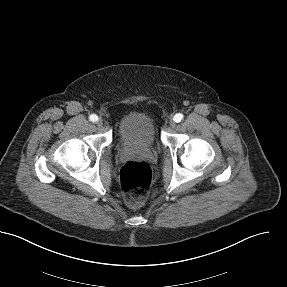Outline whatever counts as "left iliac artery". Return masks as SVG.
<instances>
[{
    "mask_svg": "<svg viewBox=\"0 0 287 287\" xmlns=\"http://www.w3.org/2000/svg\"><path fill=\"white\" fill-rule=\"evenodd\" d=\"M183 114H181V113H177L175 116H174V118H173V120L175 121V122H180L182 119H183Z\"/></svg>",
    "mask_w": 287,
    "mask_h": 287,
    "instance_id": "44dca946",
    "label": "left iliac artery"
}]
</instances>
